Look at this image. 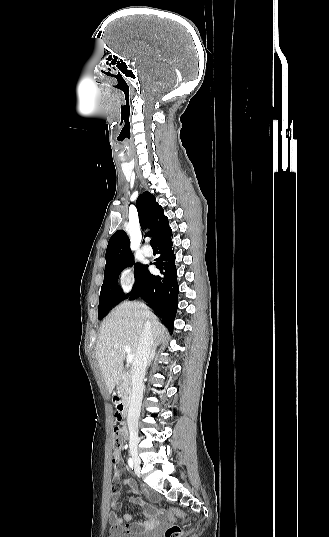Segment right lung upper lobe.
<instances>
[{
	"label": "right lung upper lobe",
	"mask_w": 329,
	"mask_h": 537,
	"mask_svg": "<svg viewBox=\"0 0 329 537\" xmlns=\"http://www.w3.org/2000/svg\"><path fill=\"white\" fill-rule=\"evenodd\" d=\"M139 222L142 230L150 229L145 235L154 236L157 241L170 231L168 218L164 216L163 208L149 192H143L136 201ZM133 258L130 250V240L123 230L116 231L110 238L106 250V265L116 264Z\"/></svg>",
	"instance_id": "cb5924a9"
}]
</instances>
